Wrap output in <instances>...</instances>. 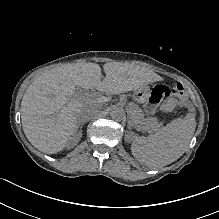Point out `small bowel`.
<instances>
[{
  "instance_id": "obj_1",
  "label": "small bowel",
  "mask_w": 219,
  "mask_h": 219,
  "mask_svg": "<svg viewBox=\"0 0 219 219\" xmlns=\"http://www.w3.org/2000/svg\"><path fill=\"white\" fill-rule=\"evenodd\" d=\"M169 94H170V90L168 87L162 85L157 86L155 89L153 101L146 107V112L149 115L154 114L160 100L164 97H167Z\"/></svg>"
}]
</instances>
